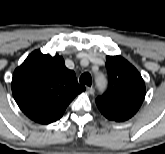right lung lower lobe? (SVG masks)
<instances>
[{
  "mask_svg": "<svg viewBox=\"0 0 165 154\" xmlns=\"http://www.w3.org/2000/svg\"><path fill=\"white\" fill-rule=\"evenodd\" d=\"M65 109H66V107L62 108V109H60V110H58V111H56L52 114L41 117V118H39L35 121L38 122V123H41V124H49V123L55 122L63 116V113H64Z\"/></svg>",
  "mask_w": 165,
  "mask_h": 154,
  "instance_id": "1",
  "label": "right lung lower lobe"
}]
</instances>
